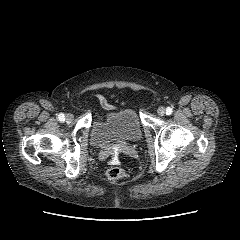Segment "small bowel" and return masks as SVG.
<instances>
[{
    "label": "small bowel",
    "instance_id": "obj_1",
    "mask_svg": "<svg viewBox=\"0 0 240 240\" xmlns=\"http://www.w3.org/2000/svg\"><path fill=\"white\" fill-rule=\"evenodd\" d=\"M95 98L99 101V103L104 106V107H108V103L106 101V99L101 96V95H95Z\"/></svg>",
    "mask_w": 240,
    "mask_h": 240
}]
</instances>
